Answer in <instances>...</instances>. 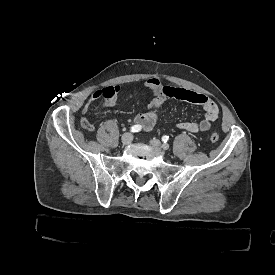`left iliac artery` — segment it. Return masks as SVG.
I'll list each match as a JSON object with an SVG mask.
<instances>
[{"label": "left iliac artery", "mask_w": 275, "mask_h": 275, "mask_svg": "<svg viewBox=\"0 0 275 275\" xmlns=\"http://www.w3.org/2000/svg\"><path fill=\"white\" fill-rule=\"evenodd\" d=\"M168 139H169V136H167V135H164V136L162 137V141H163L164 143H166V142L168 141Z\"/></svg>", "instance_id": "44dca946"}]
</instances>
